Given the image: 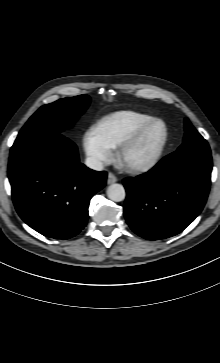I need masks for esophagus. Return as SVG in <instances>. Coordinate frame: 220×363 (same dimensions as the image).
I'll list each match as a JSON object with an SVG mask.
<instances>
[{
    "instance_id": "1",
    "label": "esophagus",
    "mask_w": 220,
    "mask_h": 363,
    "mask_svg": "<svg viewBox=\"0 0 220 363\" xmlns=\"http://www.w3.org/2000/svg\"><path fill=\"white\" fill-rule=\"evenodd\" d=\"M117 180H118L117 177L113 173H111V172L108 173V176H107L108 184L115 183Z\"/></svg>"
}]
</instances>
